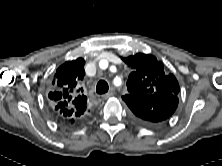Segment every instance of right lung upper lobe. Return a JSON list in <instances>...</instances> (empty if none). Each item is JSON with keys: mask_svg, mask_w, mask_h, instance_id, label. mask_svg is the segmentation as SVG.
Segmentation results:
<instances>
[{"mask_svg": "<svg viewBox=\"0 0 222 166\" xmlns=\"http://www.w3.org/2000/svg\"><path fill=\"white\" fill-rule=\"evenodd\" d=\"M85 61L82 58L62 64L54 75L52 88L48 94L50 106L64 121H74L89 112L87 97L80 92V83L84 78Z\"/></svg>", "mask_w": 222, "mask_h": 166, "instance_id": "obj_1", "label": "right lung upper lobe"}]
</instances>
